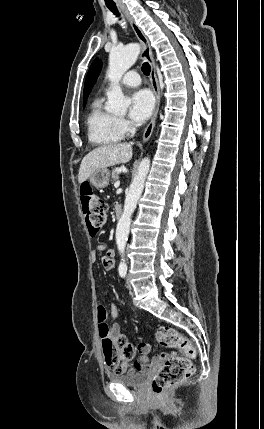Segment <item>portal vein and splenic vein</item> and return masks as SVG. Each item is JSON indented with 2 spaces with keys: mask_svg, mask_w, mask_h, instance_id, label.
Listing matches in <instances>:
<instances>
[{
  "mask_svg": "<svg viewBox=\"0 0 264 429\" xmlns=\"http://www.w3.org/2000/svg\"><path fill=\"white\" fill-rule=\"evenodd\" d=\"M120 186V181L115 182L114 187L118 188Z\"/></svg>",
  "mask_w": 264,
  "mask_h": 429,
  "instance_id": "portal-vein-and-splenic-vein-1",
  "label": "portal vein and splenic vein"
}]
</instances>
